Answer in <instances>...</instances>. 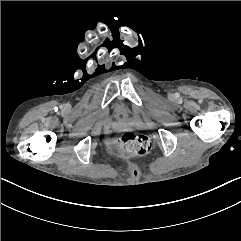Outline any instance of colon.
Here are the masks:
<instances>
[{
    "label": "colon",
    "instance_id": "1",
    "mask_svg": "<svg viewBox=\"0 0 241 241\" xmlns=\"http://www.w3.org/2000/svg\"><path fill=\"white\" fill-rule=\"evenodd\" d=\"M152 143L150 139L141 134L124 133L117 141L115 150L124 156H145L150 153Z\"/></svg>",
    "mask_w": 241,
    "mask_h": 241
}]
</instances>
